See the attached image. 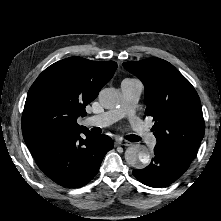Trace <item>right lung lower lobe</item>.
Listing matches in <instances>:
<instances>
[{
  "mask_svg": "<svg viewBox=\"0 0 221 221\" xmlns=\"http://www.w3.org/2000/svg\"><path fill=\"white\" fill-rule=\"evenodd\" d=\"M81 133L86 135L84 139ZM113 146L107 135L94 134L85 128L30 151L51 180L63 187L79 188L93 179Z\"/></svg>",
  "mask_w": 221,
  "mask_h": 221,
  "instance_id": "98d812e1",
  "label": "right lung lower lobe"
}]
</instances>
